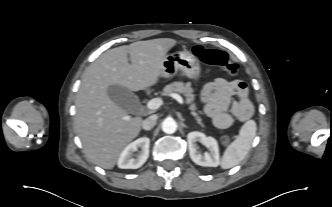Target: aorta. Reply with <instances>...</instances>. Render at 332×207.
<instances>
[{"label":"aorta","mask_w":332,"mask_h":207,"mask_svg":"<svg viewBox=\"0 0 332 207\" xmlns=\"http://www.w3.org/2000/svg\"><path fill=\"white\" fill-rule=\"evenodd\" d=\"M162 130L167 134H172L177 130V123L173 118H166L162 122Z\"/></svg>","instance_id":"762f6f07"}]
</instances>
